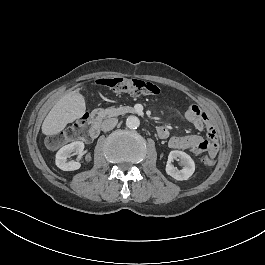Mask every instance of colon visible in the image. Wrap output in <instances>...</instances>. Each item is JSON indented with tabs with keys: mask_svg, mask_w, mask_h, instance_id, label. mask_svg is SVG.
<instances>
[{
	"mask_svg": "<svg viewBox=\"0 0 265 265\" xmlns=\"http://www.w3.org/2000/svg\"><path fill=\"white\" fill-rule=\"evenodd\" d=\"M96 84L100 88L109 89L114 93L128 94L134 97H142L147 95H157L162 93L159 85L140 79H126L121 77H106L97 80ZM76 136V131L66 129L60 133L51 135L47 139L48 145L56 147L68 139ZM202 163L207 166L213 165L215 162L205 155Z\"/></svg>",
	"mask_w": 265,
	"mask_h": 265,
	"instance_id": "5ec220e1",
	"label": "colon"
}]
</instances>
